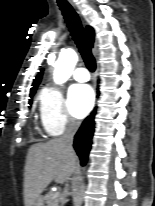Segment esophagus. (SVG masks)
<instances>
[{"instance_id":"esophagus-1","label":"esophagus","mask_w":155,"mask_h":206,"mask_svg":"<svg viewBox=\"0 0 155 206\" xmlns=\"http://www.w3.org/2000/svg\"><path fill=\"white\" fill-rule=\"evenodd\" d=\"M69 2L74 8H76L75 4L71 0H69Z\"/></svg>"}]
</instances>
